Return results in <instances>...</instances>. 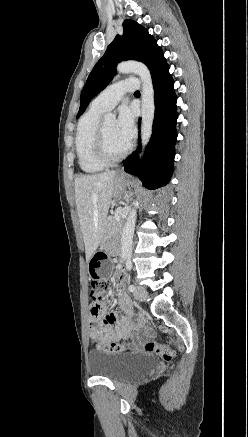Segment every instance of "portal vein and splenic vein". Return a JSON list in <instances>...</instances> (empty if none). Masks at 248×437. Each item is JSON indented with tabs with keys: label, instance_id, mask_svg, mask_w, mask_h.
<instances>
[{
	"label": "portal vein and splenic vein",
	"instance_id": "18ae733b",
	"mask_svg": "<svg viewBox=\"0 0 248 437\" xmlns=\"http://www.w3.org/2000/svg\"><path fill=\"white\" fill-rule=\"evenodd\" d=\"M122 208L121 207H119V208H117V210L115 211V217L117 218V219H119L120 218V215H121V213H122Z\"/></svg>",
	"mask_w": 248,
	"mask_h": 437
}]
</instances>
